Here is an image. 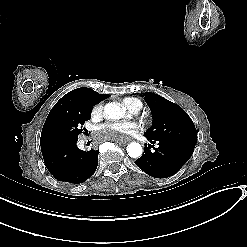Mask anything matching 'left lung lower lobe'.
<instances>
[{
	"instance_id": "left-lung-lower-lobe-1",
	"label": "left lung lower lobe",
	"mask_w": 247,
	"mask_h": 247,
	"mask_svg": "<svg viewBox=\"0 0 247 247\" xmlns=\"http://www.w3.org/2000/svg\"><path fill=\"white\" fill-rule=\"evenodd\" d=\"M150 141L152 144L158 143L159 147L155 148V151H151L154 146L146 144L144 154L135 161V164L155 178H166L177 173L194 151V147L185 144L165 140Z\"/></svg>"
}]
</instances>
